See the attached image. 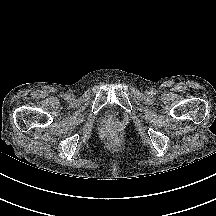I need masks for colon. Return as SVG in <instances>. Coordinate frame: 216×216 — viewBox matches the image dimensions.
I'll use <instances>...</instances> for the list:
<instances>
[{"instance_id": "5ec220e1", "label": "colon", "mask_w": 216, "mask_h": 216, "mask_svg": "<svg viewBox=\"0 0 216 216\" xmlns=\"http://www.w3.org/2000/svg\"><path fill=\"white\" fill-rule=\"evenodd\" d=\"M116 140V137H112V141H115Z\"/></svg>"}]
</instances>
